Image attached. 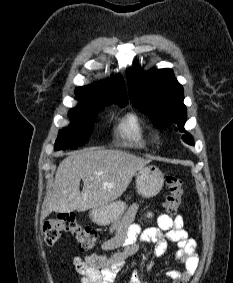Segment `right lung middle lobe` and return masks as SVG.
<instances>
[{"instance_id":"obj_1","label":"right lung middle lobe","mask_w":233,"mask_h":283,"mask_svg":"<svg viewBox=\"0 0 233 283\" xmlns=\"http://www.w3.org/2000/svg\"><path fill=\"white\" fill-rule=\"evenodd\" d=\"M120 106L123 107L125 104ZM100 107L78 105L72 108L69 111V117L73 120V123L59 131L55 142L56 150L76 149L78 146L84 145L91 133L94 113L98 112Z\"/></svg>"}]
</instances>
